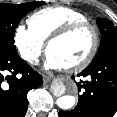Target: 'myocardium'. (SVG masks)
I'll list each match as a JSON object with an SVG mask.
<instances>
[{
    "instance_id": "f54148a6",
    "label": "myocardium",
    "mask_w": 117,
    "mask_h": 117,
    "mask_svg": "<svg viewBox=\"0 0 117 117\" xmlns=\"http://www.w3.org/2000/svg\"><path fill=\"white\" fill-rule=\"evenodd\" d=\"M81 30H90L92 33L93 42H92L90 51L85 58H83L80 62L66 68L67 70L72 72H78V71L84 70L94 60L100 44V35L97 27L88 21L76 22L58 30L47 40V44H46V53L48 54L49 49L53 43L61 41Z\"/></svg>"
}]
</instances>
